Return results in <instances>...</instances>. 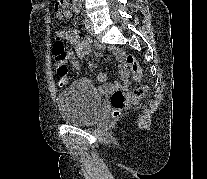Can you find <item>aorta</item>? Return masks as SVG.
Here are the masks:
<instances>
[{
	"label": "aorta",
	"instance_id": "1",
	"mask_svg": "<svg viewBox=\"0 0 207 179\" xmlns=\"http://www.w3.org/2000/svg\"><path fill=\"white\" fill-rule=\"evenodd\" d=\"M73 2H74L75 4H81V3L83 2V0H73Z\"/></svg>",
	"mask_w": 207,
	"mask_h": 179
}]
</instances>
